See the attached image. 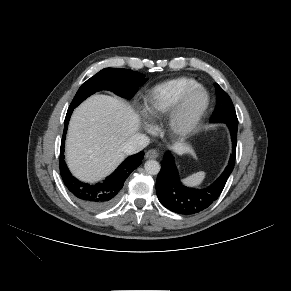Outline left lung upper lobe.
<instances>
[{"instance_id":"5c2ea615","label":"left lung upper lobe","mask_w":291,"mask_h":291,"mask_svg":"<svg viewBox=\"0 0 291 291\" xmlns=\"http://www.w3.org/2000/svg\"><path fill=\"white\" fill-rule=\"evenodd\" d=\"M217 103L216 108L211 116V122L222 121V119H229L238 122L234 105L229 95L216 83Z\"/></svg>"}]
</instances>
